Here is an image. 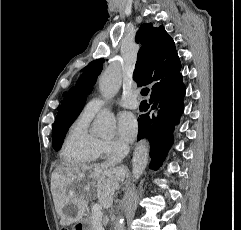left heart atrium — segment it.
Instances as JSON below:
<instances>
[{"label":"left heart atrium","mask_w":241,"mask_h":230,"mask_svg":"<svg viewBox=\"0 0 241 230\" xmlns=\"http://www.w3.org/2000/svg\"><path fill=\"white\" fill-rule=\"evenodd\" d=\"M137 130V121L131 113L123 112L119 115L117 132L122 140L131 142L135 138Z\"/></svg>","instance_id":"1"}]
</instances>
